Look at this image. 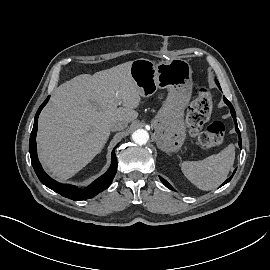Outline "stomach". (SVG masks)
Instances as JSON below:
<instances>
[{
  "instance_id": "obj_1",
  "label": "stomach",
  "mask_w": 270,
  "mask_h": 270,
  "mask_svg": "<svg viewBox=\"0 0 270 270\" xmlns=\"http://www.w3.org/2000/svg\"><path fill=\"white\" fill-rule=\"evenodd\" d=\"M130 73L143 97L153 95L158 88L168 90L153 125L157 134V146L167 153L177 151L186 136L183 113L192 92L190 64L179 58L159 63L140 58L132 61Z\"/></svg>"
}]
</instances>
